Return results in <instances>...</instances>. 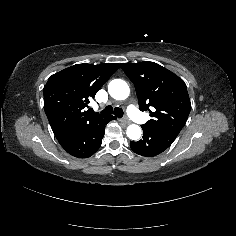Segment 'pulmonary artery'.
<instances>
[{"mask_svg":"<svg viewBox=\"0 0 236 236\" xmlns=\"http://www.w3.org/2000/svg\"><path fill=\"white\" fill-rule=\"evenodd\" d=\"M127 113L132 117V120L139 125H145L148 122V117L142 114L135 105H130L127 108Z\"/></svg>","mask_w":236,"mask_h":236,"instance_id":"1","label":"pulmonary artery"}]
</instances>
